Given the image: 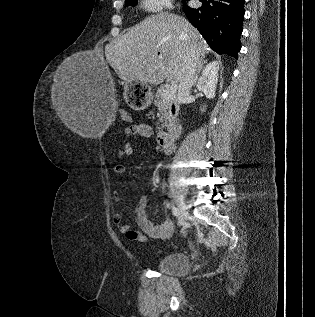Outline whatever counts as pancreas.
<instances>
[{
    "label": "pancreas",
    "instance_id": "1",
    "mask_svg": "<svg viewBox=\"0 0 315 317\" xmlns=\"http://www.w3.org/2000/svg\"><path fill=\"white\" fill-rule=\"evenodd\" d=\"M166 89L167 88L165 86H161L155 94V106L161 110L160 121H164V126H168V122L171 119L170 108L172 102L171 98L168 99L165 97Z\"/></svg>",
    "mask_w": 315,
    "mask_h": 317
}]
</instances>
